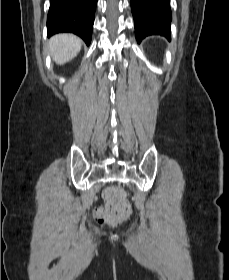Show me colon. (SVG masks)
<instances>
[{"label": "colon", "instance_id": "obj_1", "mask_svg": "<svg viewBox=\"0 0 229 280\" xmlns=\"http://www.w3.org/2000/svg\"><path fill=\"white\" fill-rule=\"evenodd\" d=\"M104 199L105 208H98L95 212L100 224L118 223L130 215L131 206L122 187L114 185L107 188L104 191Z\"/></svg>", "mask_w": 229, "mask_h": 280}]
</instances>
